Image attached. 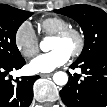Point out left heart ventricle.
Returning a JSON list of instances; mask_svg holds the SVG:
<instances>
[{
    "label": "left heart ventricle",
    "mask_w": 107,
    "mask_h": 107,
    "mask_svg": "<svg viewBox=\"0 0 107 107\" xmlns=\"http://www.w3.org/2000/svg\"><path fill=\"white\" fill-rule=\"evenodd\" d=\"M76 45H77V39L74 36H70L65 40H58L53 38L50 49L54 50L60 48L71 53V51L76 47Z\"/></svg>",
    "instance_id": "1"
}]
</instances>
